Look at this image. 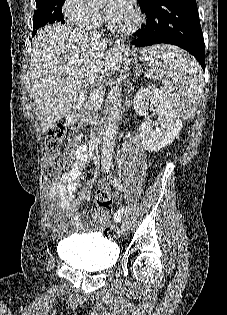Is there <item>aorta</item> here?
<instances>
[{"label":"aorta","mask_w":227,"mask_h":315,"mask_svg":"<svg viewBox=\"0 0 227 315\" xmlns=\"http://www.w3.org/2000/svg\"><path fill=\"white\" fill-rule=\"evenodd\" d=\"M92 4H100L104 0H88ZM122 108V100L117 99L111 108V113L108 118V123L105 128L102 145V159L107 161L112 160V154L114 152L115 139L118 130V121Z\"/></svg>","instance_id":"1"}]
</instances>
